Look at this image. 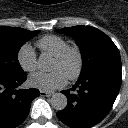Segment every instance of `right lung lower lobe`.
I'll return each instance as SVG.
<instances>
[{
	"label": "right lung lower lobe",
	"mask_w": 128,
	"mask_h": 128,
	"mask_svg": "<svg viewBox=\"0 0 128 128\" xmlns=\"http://www.w3.org/2000/svg\"><path fill=\"white\" fill-rule=\"evenodd\" d=\"M26 80L25 73L16 77H0V128H15L27 117L38 89L16 90Z\"/></svg>",
	"instance_id": "right-lung-lower-lobe-1"
}]
</instances>
